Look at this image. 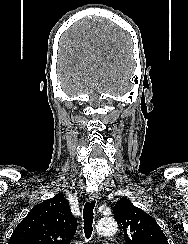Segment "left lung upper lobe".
Segmentation results:
<instances>
[{
  "mask_svg": "<svg viewBox=\"0 0 188 244\" xmlns=\"http://www.w3.org/2000/svg\"><path fill=\"white\" fill-rule=\"evenodd\" d=\"M113 213L123 228L126 244H168L155 219L135 207L129 199L121 198L114 206Z\"/></svg>",
  "mask_w": 188,
  "mask_h": 244,
  "instance_id": "obj_1",
  "label": "left lung upper lobe"
}]
</instances>
